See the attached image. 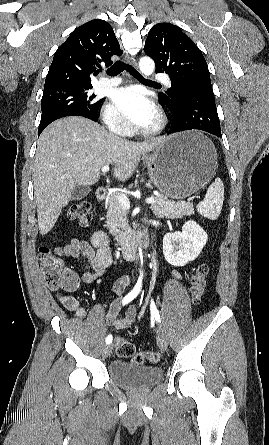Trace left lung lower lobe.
<instances>
[{
    "label": "left lung lower lobe",
    "instance_id": "0a47b994",
    "mask_svg": "<svg viewBox=\"0 0 269 445\" xmlns=\"http://www.w3.org/2000/svg\"><path fill=\"white\" fill-rule=\"evenodd\" d=\"M173 117L167 134L198 129L221 137L220 122L212 87L193 86L178 92L173 101L159 95Z\"/></svg>",
    "mask_w": 269,
    "mask_h": 445
}]
</instances>
